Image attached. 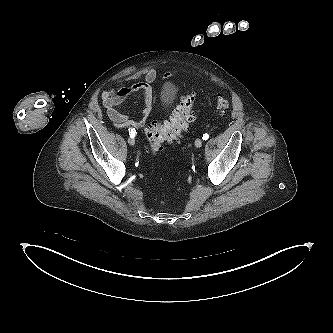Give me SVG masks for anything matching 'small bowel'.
<instances>
[{"label": "small bowel", "mask_w": 333, "mask_h": 333, "mask_svg": "<svg viewBox=\"0 0 333 333\" xmlns=\"http://www.w3.org/2000/svg\"><path fill=\"white\" fill-rule=\"evenodd\" d=\"M156 70L152 67L140 68L117 83L121 86L105 90L101 93V101L106 110L107 117L118 129H134L135 131L145 126L152 109V102L155 92L152 83L156 79ZM167 73L165 77H170ZM131 83L129 85H123ZM140 92L143 100V109L138 120L129 118L127 115L119 112L116 107L124 102L131 94Z\"/></svg>", "instance_id": "c3829d8e"}]
</instances>
